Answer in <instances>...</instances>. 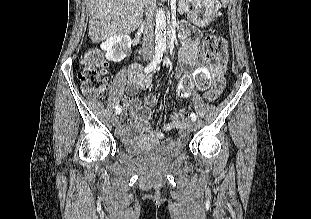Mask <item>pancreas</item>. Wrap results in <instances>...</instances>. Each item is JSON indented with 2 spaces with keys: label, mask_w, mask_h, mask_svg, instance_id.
<instances>
[{
  "label": "pancreas",
  "mask_w": 311,
  "mask_h": 219,
  "mask_svg": "<svg viewBox=\"0 0 311 219\" xmlns=\"http://www.w3.org/2000/svg\"><path fill=\"white\" fill-rule=\"evenodd\" d=\"M189 1L190 0H179L178 2V11L180 13H187L189 11Z\"/></svg>",
  "instance_id": "pancreas-1"
}]
</instances>
